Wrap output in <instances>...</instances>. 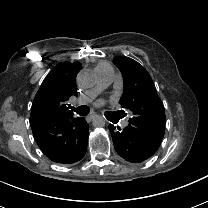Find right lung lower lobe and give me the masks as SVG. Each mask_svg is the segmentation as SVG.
Here are the masks:
<instances>
[{"mask_svg":"<svg viewBox=\"0 0 208 208\" xmlns=\"http://www.w3.org/2000/svg\"><path fill=\"white\" fill-rule=\"evenodd\" d=\"M30 125L39 148L53 162L72 164L84 157L89 130L84 118H45Z\"/></svg>","mask_w":208,"mask_h":208,"instance_id":"right-lung-lower-lobe-1","label":"right lung lower lobe"}]
</instances>
